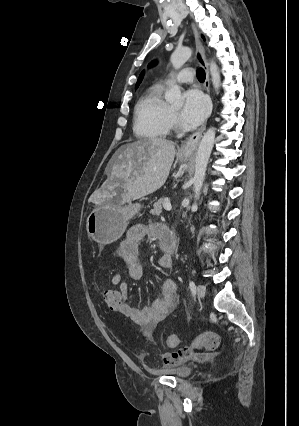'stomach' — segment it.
Instances as JSON below:
<instances>
[{"instance_id":"1","label":"stomach","mask_w":299,"mask_h":426,"mask_svg":"<svg viewBox=\"0 0 299 426\" xmlns=\"http://www.w3.org/2000/svg\"><path fill=\"white\" fill-rule=\"evenodd\" d=\"M190 158L179 155L183 162ZM139 203L114 204L112 202L96 207L87 217L86 230L89 237L104 246L118 240L124 233L128 221L140 210Z\"/></svg>"}]
</instances>
